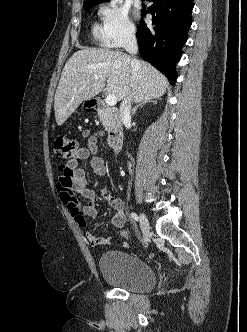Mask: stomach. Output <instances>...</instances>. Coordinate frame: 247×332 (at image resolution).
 <instances>
[{
	"label": "stomach",
	"instance_id": "1",
	"mask_svg": "<svg viewBox=\"0 0 247 332\" xmlns=\"http://www.w3.org/2000/svg\"><path fill=\"white\" fill-rule=\"evenodd\" d=\"M83 105H84V106H89V102H88V101H84V102H83Z\"/></svg>",
	"mask_w": 247,
	"mask_h": 332
}]
</instances>
